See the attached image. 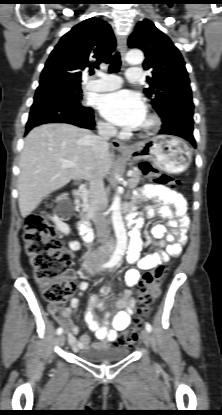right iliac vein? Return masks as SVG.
<instances>
[{
    "instance_id": "obj_1",
    "label": "right iliac vein",
    "mask_w": 222,
    "mask_h": 415,
    "mask_svg": "<svg viewBox=\"0 0 222 415\" xmlns=\"http://www.w3.org/2000/svg\"><path fill=\"white\" fill-rule=\"evenodd\" d=\"M58 343H59L60 346H63L65 344V335L64 334L59 335Z\"/></svg>"
}]
</instances>
